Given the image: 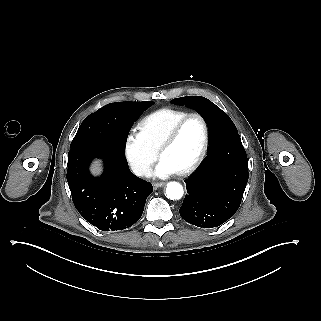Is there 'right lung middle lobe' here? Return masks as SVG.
Here are the masks:
<instances>
[{"mask_svg":"<svg viewBox=\"0 0 321 321\" xmlns=\"http://www.w3.org/2000/svg\"><path fill=\"white\" fill-rule=\"evenodd\" d=\"M121 104L135 105L145 111L152 106L154 102H117L102 107L97 112L89 115L82 122L73 141L71 142L70 149L78 146H108L124 150L125 144L119 143L113 136L111 126L108 124V120L104 113L107 108Z\"/></svg>","mask_w":321,"mask_h":321,"instance_id":"obj_1","label":"right lung middle lobe"}]
</instances>
